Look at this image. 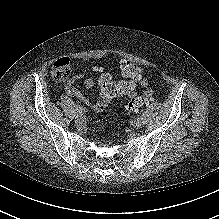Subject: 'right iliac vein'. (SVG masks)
<instances>
[{"mask_svg":"<svg viewBox=\"0 0 219 219\" xmlns=\"http://www.w3.org/2000/svg\"><path fill=\"white\" fill-rule=\"evenodd\" d=\"M84 117H85L84 113L78 112L76 114V120L77 121H82L84 119Z\"/></svg>","mask_w":219,"mask_h":219,"instance_id":"1","label":"right iliac vein"}]
</instances>
